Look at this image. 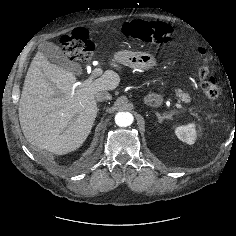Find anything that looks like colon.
<instances>
[{
  "label": "colon",
  "instance_id": "colon-1",
  "mask_svg": "<svg viewBox=\"0 0 236 236\" xmlns=\"http://www.w3.org/2000/svg\"><path fill=\"white\" fill-rule=\"evenodd\" d=\"M123 33L127 37L135 38L146 43L161 44L172 41V29L162 22H148L135 19L123 25ZM64 53L67 58L79 62L90 59L93 45L88 31L83 27L75 28L71 33L62 37ZM201 54L206 51L199 49ZM202 91L211 99H218L222 94V85L219 79L210 73L209 63L206 59L198 71Z\"/></svg>",
  "mask_w": 236,
  "mask_h": 236
}]
</instances>
